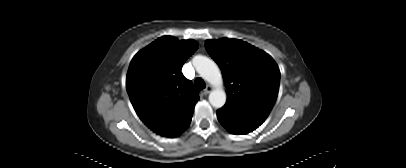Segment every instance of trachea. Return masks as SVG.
<instances>
[{
    "mask_svg": "<svg viewBox=\"0 0 406 168\" xmlns=\"http://www.w3.org/2000/svg\"><path fill=\"white\" fill-rule=\"evenodd\" d=\"M195 86L198 89H204L206 87V84L202 78H196L195 79Z\"/></svg>",
    "mask_w": 406,
    "mask_h": 168,
    "instance_id": "obj_1",
    "label": "trachea"
}]
</instances>
